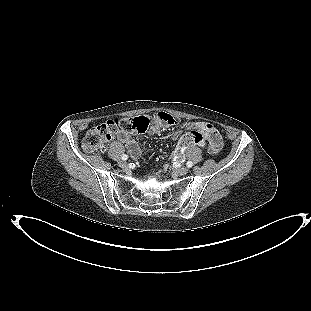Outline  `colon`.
<instances>
[{
	"mask_svg": "<svg viewBox=\"0 0 311 311\" xmlns=\"http://www.w3.org/2000/svg\"><path fill=\"white\" fill-rule=\"evenodd\" d=\"M152 121L147 116L122 118L107 121L91 128L85 134L82 146L87 152H103L107 143L119 132L142 133L151 125ZM153 123L158 126H177L179 120L171 114L159 112L153 117ZM203 138L200 133L192 131L179 142V148L201 144Z\"/></svg>",
	"mask_w": 311,
	"mask_h": 311,
	"instance_id": "colon-1",
	"label": "colon"
}]
</instances>
